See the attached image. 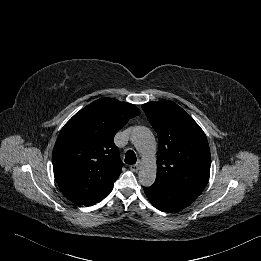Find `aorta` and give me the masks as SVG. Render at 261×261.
Segmentation results:
<instances>
[{
    "instance_id": "762f6f07",
    "label": "aorta",
    "mask_w": 261,
    "mask_h": 261,
    "mask_svg": "<svg viewBox=\"0 0 261 261\" xmlns=\"http://www.w3.org/2000/svg\"><path fill=\"white\" fill-rule=\"evenodd\" d=\"M131 142L142 158L139 170V182L145 186H151L156 179V142L153 133L144 126H136L131 133Z\"/></svg>"
}]
</instances>
